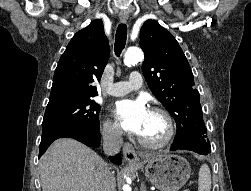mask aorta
<instances>
[{"mask_svg":"<svg viewBox=\"0 0 251 191\" xmlns=\"http://www.w3.org/2000/svg\"><path fill=\"white\" fill-rule=\"evenodd\" d=\"M144 54L140 48H127L124 56L125 66H131V64H139L142 62ZM126 189V187H125Z\"/></svg>","mask_w":251,"mask_h":191,"instance_id":"762f6f07","label":"aorta"}]
</instances>
